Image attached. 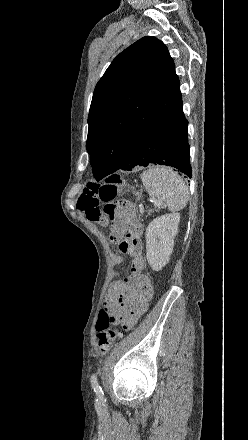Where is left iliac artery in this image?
<instances>
[{"instance_id": "obj_1", "label": "left iliac artery", "mask_w": 248, "mask_h": 440, "mask_svg": "<svg viewBox=\"0 0 248 440\" xmlns=\"http://www.w3.org/2000/svg\"><path fill=\"white\" fill-rule=\"evenodd\" d=\"M98 373H99V372H98ZM98 373L92 374V376H91V378H90V381H91L92 388L94 389V392H95L100 398H102V397H103V391H102V388L100 387V385L98 384V379H97V374H98Z\"/></svg>"}]
</instances>
